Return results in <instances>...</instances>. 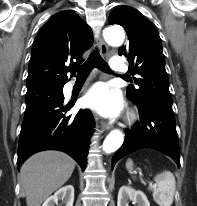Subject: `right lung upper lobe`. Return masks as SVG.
<instances>
[{"mask_svg":"<svg viewBox=\"0 0 197 206\" xmlns=\"http://www.w3.org/2000/svg\"><path fill=\"white\" fill-rule=\"evenodd\" d=\"M93 43L90 27L74 12L54 14L38 32L31 50L27 90L63 88L67 72L81 64L82 54ZM69 64V66H67Z\"/></svg>","mask_w":197,"mask_h":206,"instance_id":"1","label":"right lung upper lobe"}]
</instances>
